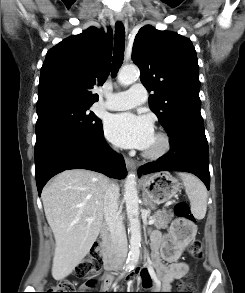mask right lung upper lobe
<instances>
[{"label": "right lung upper lobe", "mask_w": 245, "mask_h": 293, "mask_svg": "<svg viewBox=\"0 0 245 293\" xmlns=\"http://www.w3.org/2000/svg\"><path fill=\"white\" fill-rule=\"evenodd\" d=\"M113 36L91 26L50 49L41 68L37 108L53 104L92 105L109 73Z\"/></svg>", "instance_id": "right-lung-upper-lobe-1"}]
</instances>
